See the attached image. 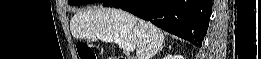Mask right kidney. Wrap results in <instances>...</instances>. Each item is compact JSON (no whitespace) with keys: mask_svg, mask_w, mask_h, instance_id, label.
I'll return each instance as SVG.
<instances>
[{"mask_svg":"<svg viewBox=\"0 0 261 59\" xmlns=\"http://www.w3.org/2000/svg\"><path fill=\"white\" fill-rule=\"evenodd\" d=\"M183 59V57L181 56V55H177V56H174V57H172V56H168V57H165L164 59Z\"/></svg>","mask_w":261,"mask_h":59,"instance_id":"obj_1","label":"right kidney"}]
</instances>
